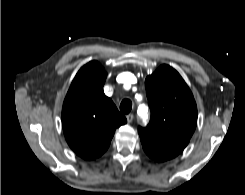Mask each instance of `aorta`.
Instances as JSON below:
<instances>
[{"label":"aorta","instance_id":"obj_1","mask_svg":"<svg viewBox=\"0 0 245 195\" xmlns=\"http://www.w3.org/2000/svg\"><path fill=\"white\" fill-rule=\"evenodd\" d=\"M138 113H139V116L141 117L142 121L144 123H146L147 120L149 119L148 107L144 104L140 105L139 109H138Z\"/></svg>","mask_w":245,"mask_h":195}]
</instances>
